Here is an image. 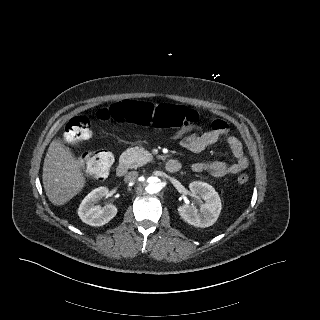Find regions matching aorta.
Instances as JSON below:
<instances>
[{
	"label": "aorta",
	"instance_id": "1",
	"mask_svg": "<svg viewBox=\"0 0 320 320\" xmlns=\"http://www.w3.org/2000/svg\"><path fill=\"white\" fill-rule=\"evenodd\" d=\"M161 183L157 177H148L145 180V189L149 194H156L161 190Z\"/></svg>",
	"mask_w": 320,
	"mask_h": 320
}]
</instances>
